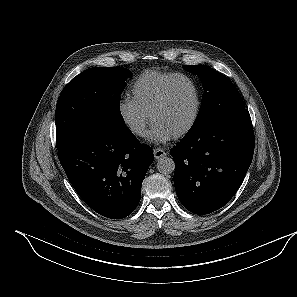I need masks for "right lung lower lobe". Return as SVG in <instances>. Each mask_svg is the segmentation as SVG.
<instances>
[{
  "label": "right lung lower lobe",
  "instance_id": "right-lung-lower-lobe-1",
  "mask_svg": "<svg viewBox=\"0 0 297 297\" xmlns=\"http://www.w3.org/2000/svg\"><path fill=\"white\" fill-rule=\"evenodd\" d=\"M152 149L140 144L125 125L92 123L59 150V161L72 186L95 212L111 219L131 214Z\"/></svg>",
  "mask_w": 297,
  "mask_h": 297
}]
</instances>
